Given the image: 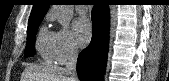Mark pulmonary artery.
<instances>
[{
  "label": "pulmonary artery",
  "mask_w": 169,
  "mask_h": 81,
  "mask_svg": "<svg viewBox=\"0 0 169 81\" xmlns=\"http://www.w3.org/2000/svg\"><path fill=\"white\" fill-rule=\"evenodd\" d=\"M78 12H79L80 14L86 13L85 7H84V6H79V7H78Z\"/></svg>",
  "instance_id": "1"
}]
</instances>
